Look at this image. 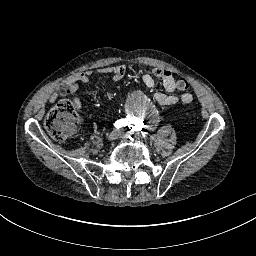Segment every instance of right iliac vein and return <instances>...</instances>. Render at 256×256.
Segmentation results:
<instances>
[{
	"label": "right iliac vein",
	"instance_id": "1",
	"mask_svg": "<svg viewBox=\"0 0 256 256\" xmlns=\"http://www.w3.org/2000/svg\"><path fill=\"white\" fill-rule=\"evenodd\" d=\"M118 135L119 134H117V132L116 131H113V132H111L109 135H108V137H107V140L108 141H115L117 138H118Z\"/></svg>",
	"mask_w": 256,
	"mask_h": 256
}]
</instances>
